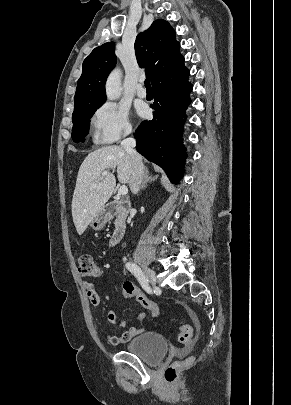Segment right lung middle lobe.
Masks as SVG:
<instances>
[{"mask_svg": "<svg viewBox=\"0 0 291 405\" xmlns=\"http://www.w3.org/2000/svg\"><path fill=\"white\" fill-rule=\"evenodd\" d=\"M101 105L88 107L72 115V139L74 142L83 141L89 132L90 118Z\"/></svg>", "mask_w": 291, "mask_h": 405, "instance_id": "right-lung-middle-lobe-1", "label": "right lung middle lobe"}]
</instances>
